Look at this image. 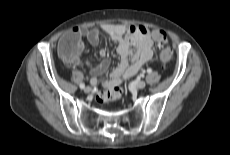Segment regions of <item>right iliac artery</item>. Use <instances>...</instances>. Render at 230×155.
<instances>
[{"mask_svg":"<svg viewBox=\"0 0 230 155\" xmlns=\"http://www.w3.org/2000/svg\"><path fill=\"white\" fill-rule=\"evenodd\" d=\"M80 88H81V89H84V88H85L84 83H81V84H80Z\"/></svg>","mask_w":230,"mask_h":155,"instance_id":"right-iliac-artery-1","label":"right iliac artery"}]
</instances>
